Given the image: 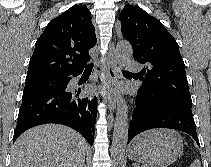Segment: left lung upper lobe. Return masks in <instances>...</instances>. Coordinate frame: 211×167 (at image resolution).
I'll list each match as a JSON object with an SVG mask.
<instances>
[{
    "instance_id": "obj_1",
    "label": "left lung upper lobe",
    "mask_w": 211,
    "mask_h": 167,
    "mask_svg": "<svg viewBox=\"0 0 211 167\" xmlns=\"http://www.w3.org/2000/svg\"><path fill=\"white\" fill-rule=\"evenodd\" d=\"M119 17L134 59L146 64L142 70L145 78L138 91L191 108L184 61L174 37L139 6L126 5Z\"/></svg>"
}]
</instances>
